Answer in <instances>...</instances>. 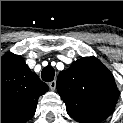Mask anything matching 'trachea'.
I'll use <instances>...</instances> for the list:
<instances>
[{
	"instance_id": "3493384b",
	"label": "trachea",
	"mask_w": 123,
	"mask_h": 123,
	"mask_svg": "<svg viewBox=\"0 0 123 123\" xmlns=\"http://www.w3.org/2000/svg\"><path fill=\"white\" fill-rule=\"evenodd\" d=\"M55 71L51 66H47L42 70L41 78L43 81L50 82L54 79Z\"/></svg>"
}]
</instances>
